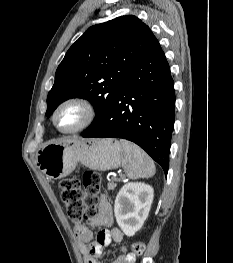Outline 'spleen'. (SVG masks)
Here are the masks:
<instances>
[{"mask_svg": "<svg viewBox=\"0 0 233 263\" xmlns=\"http://www.w3.org/2000/svg\"><path fill=\"white\" fill-rule=\"evenodd\" d=\"M124 149L122 167L130 179L149 178L155 174L152 159L137 145L120 140Z\"/></svg>", "mask_w": 233, "mask_h": 263, "instance_id": "3e777b00", "label": "spleen"}]
</instances>
